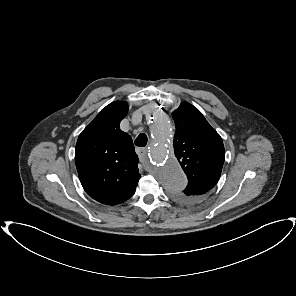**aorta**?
<instances>
[{"label":"aorta","mask_w":296,"mask_h":296,"mask_svg":"<svg viewBox=\"0 0 296 296\" xmlns=\"http://www.w3.org/2000/svg\"><path fill=\"white\" fill-rule=\"evenodd\" d=\"M147 115L151 120L149 155L155 168V175L167 190H181L186 186L187 179L179 163L174 159L172 144L174 125L168 114L156 103L148 105Z\"/></svg>","instance_id":"1"}]
</instances>
